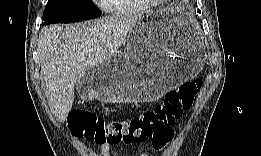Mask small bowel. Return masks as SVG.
<instances>
[{
	"instance_id": "small-bowel-1",
	"label": "small bowel",
	"mask_w": 261,
	"mask_h": 156,
	"mask_svg": "<svg viewBox=\"0 0 261 156\" xmlns=\"http://www.w3.org/2000/svg\"><path fill=\"white\" fill-rule=\"evenodd\" d=\"M153 148H154V146H153ZM155 149V148H154ZM142 156H150L151 155V150L150 149H145L143 152H142V154H141Z\"/></svg>"
}]
</instances>
